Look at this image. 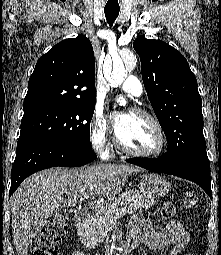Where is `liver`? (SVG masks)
<instances>
[{"label": "liver", "instance_id": "obj_1", "mask_svg": "<svg viewBox=\"0 0 221 255\" xmlns=\"http://www.w3.org/2000/svg\"><path fill=\"white\" fill-rule=\"evenodd\" d=\"M139 171L128 164H98L78 169L49 168L29 176L10 202L17 255H27L33 238L57 209L75 206L85 194L113 200L128 176Z\"/></svg>", "mask_w": 221, "mask_h": 255}]
</instances>
